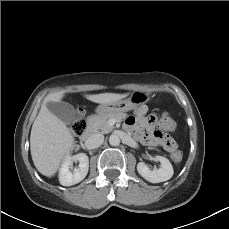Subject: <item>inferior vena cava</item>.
I'll use <instances>...</instances> for the list:
<instances>
[{"mask_svg": "<svg viewBox=\"0 0 229 229\" xmlns=\"http://www.w3.org/2000/svg\"><path fill=\"white\" fill-rule=\"evenodd\" d=\"M103 142L104 136L101 133H94L87 140V143L91 148H97L102 145Z\"/></svg>", "mask_w": 229, "mask_h": 229, "instance_id": "obj_1", "label": "inferior vena cava"}]
</instances>
